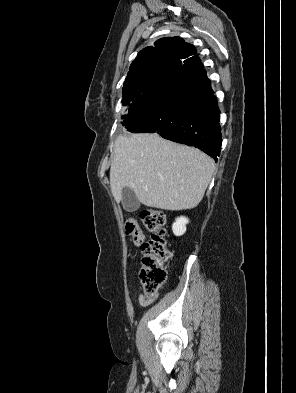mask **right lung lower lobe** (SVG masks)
<instances>
[{"label":"right lung lower lobe","instance_id":"right-lung-lower-lobe-1","mask_svg":"<svg viewBox=\"0 0 296 393\" xmlns=\"http://www.w3.org/2000/svg\"><path fill=\"white\" fill-rule=\"evenodd\" d=\"M213 93L201 61L180 67L125 128L133 133H158L199 148L217 161L222 138L220 111Z\"/></svg>","mask_w":296,"mask_h":393}]
</instances>
